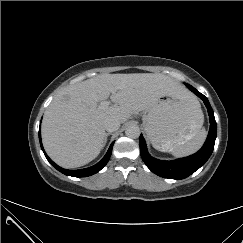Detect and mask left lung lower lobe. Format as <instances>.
<instances>
[{"mask_svg":"<svg viewBox=\"0 0 243 243\" xmlns=\"http://www.w3.org/2000/svg\"><path fill=\"white\" fill-rule=\"evenodd\" d=\"M193 93L200 97L207 109L210 119V130L203 147L195 154L173 161H162L151 157L147 151L146 143L142 135H140V152L141 157L146 166L155 174L169 179H184L194 173L197 169L205 164L212 154L215 139L217 135V125L214 117L213 110L210 106L208 99L198 92L194 87L185 84Z\"/></svg>","mask_w":243,"mask_h":243,"instance_id":"obj_1","label":"left lung lower lobe"}]
</instances>
